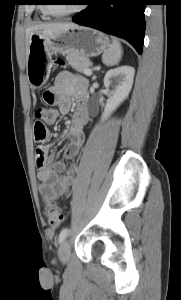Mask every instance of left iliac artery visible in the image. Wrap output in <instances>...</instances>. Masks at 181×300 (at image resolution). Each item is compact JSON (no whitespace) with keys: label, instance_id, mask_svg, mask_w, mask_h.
Here are the masks:
<instances>
[{"label":"left iliac artery","instance_id":"1","mask_svg":"<svg viewBox=\"0 0 181 300\" xmlns=\"http://www.w3.org/2000/svg\"><path fill=\"white\" fill-rule=\"evenodd\" d=\"M68 233H69L68 228L62 229V231L59 234V242H63L66 239V237L68 236Z\"/></svg>","mask_w":181,"mask_h":300}]
</instances>
